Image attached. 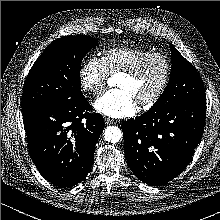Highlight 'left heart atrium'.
<instances>
[{"label":"left heart atrium","mask_w":220,"mask_h":220,"mask_svg":"<svg viewBox=\"0 0 220 220\" xmlns=\"http://www.w3.org/2000/svg\"><path fill=\"white\" fill-rule=\"evenodd\" d=\"M97 112L111 118L132 116L137 109V102L130 91L122 88L111 89L94 103Z\"/></svg>","instance_id":"1"}]
</instances>
